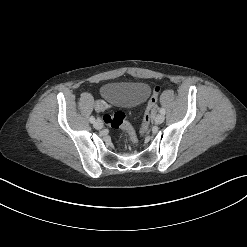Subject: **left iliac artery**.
I'll return each instance as SVG.
<instances>
[{
    "instance_id": "1",
    "label": "left iliac artery",
    "mask_w": 247,
    "mask_h": 247,
    "mask_svg": "<svg viewBox=\"0 0 247 247\" xmlns=\"http://www.w3.org/2000/svg\"><path fill=\"white\" fill-rule=\"evenodd\" d=\"M159 111H160L161 114H163V115L165 114V109L164 108H160Z\"/></svg>"
}]
</instances>
